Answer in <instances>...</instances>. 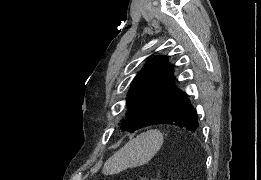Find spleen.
<instances>
[{"label":"spleen","mask_w":261,"mask_h":180,"mask_svg":"<svg viewBox=\"0 0 261 180\" xmlns=\"http://www.w3.org/2000/svg\"><path fill=\"white\" fill-rule=\"evenodd\" d=\"M162 144L163 134L160 130H147L139 134L109 158L103 174L112 176V174H120L127 168H138L148 164L159 152Z\"/></svg>","instance_id":"1"}]
</instances>
